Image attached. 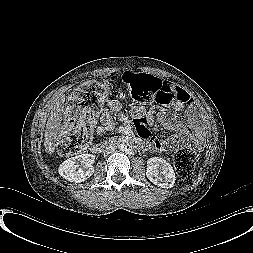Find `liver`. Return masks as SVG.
<instances>
[{
	"label": "liver",
	"instance_id": "1",
	"mask_svg": "<svg viewBox=\"0 0 253 253\" xmlns=\"http://www.w3.org/2000/svg\"><path fill=\"white\" fill-rule=\"evenodd\" d=\"M65 95H59L51 107V113L46 124V130L44 134V147L46 153L51 155L54 153L58 135L61 132L62 115L64 112Z\"/></svg>",
	"mask_w": 253,
	"mask_h": 253
}]
</instances>
